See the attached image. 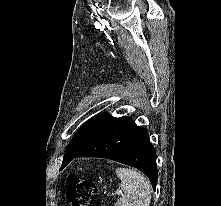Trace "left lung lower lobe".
Listing matches in <instances>:
<instances>
[{"label":"left lung lower lobe","instance_id":"obj_1","mask_svg":"<svg viewBox=\"0 0 221 206\" xmlns=\"http://www.w3.org/2000/svg\"><path fill=\"white\" fill-rule=\"evenodd\" d=\"M77 157L111 159L144 172L153 189L157 183L156 152L148 139L147 130L137 126L130 117L116 118L90 144L62 164L65 167Z\"/></svg>","mask_w":221,"mask_h":206}]
</instances>
